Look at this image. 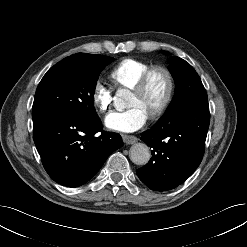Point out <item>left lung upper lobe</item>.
Segmentation results:
<instances>
[{
	"mask_svg": "<svg viewBox=\"0 0 247 247\" xmlns=\"http://www.w3.org/2000/svg\"><path fill=\"white\" fill-rule=\"evenodd\" d=\"M162 52L168 54L167 51ZM168 69L175 80L176 88L164 116L176 114L196 100L207 99L206 90L198 74L189 63L174 56L169 60Z\"/></svg>",
	"mask_w": 247,
	"mask_h": 247,
	"instance_id": "1",
	"label": "left lung upper lobe"
}]
</instances>
